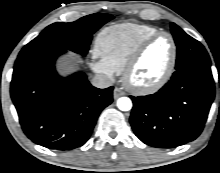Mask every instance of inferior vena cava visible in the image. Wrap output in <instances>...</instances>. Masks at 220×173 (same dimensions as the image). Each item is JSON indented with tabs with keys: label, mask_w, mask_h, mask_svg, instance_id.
Listing matches in <instances>:
<instances>
[{
	"label": "inferior vena cava",
	"mask_w": 220,
	"mask_h": 173,
	"mask_svg": "<svg viewBox=\"0 0 220 173\" xmlns=\"http://www.w3.org/2000/svg\"><path fill=\"white\" fill-rule=\"evenodd\" d=\"M91 84L96 88H108L113 84V80L106 75L96 74L92 80Z\"/></svg>",
	"instance_id": "1"
}]
</instances>
